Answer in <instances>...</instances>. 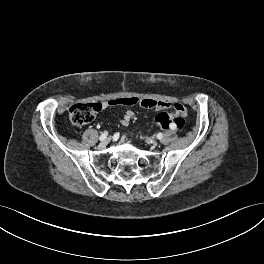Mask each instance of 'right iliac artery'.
<instances>
[{
  "instance_id": "obj_1",
  "label": "right iliac artery",
  "mask_w": 264,
  "mask_h": 264,
  "mask_svg": "<svg viewBox=\"0 0 264 264\" xmlns=\"http://www.w3.org/2000/svg\"><path fill=\"white\" fill-rule=\"evenodd\" d=\"M107 135H108V132L105 131L104 133L101 134V136L99 137V139H100L101 141H103L104 139H106Z\"/></svg>"
}]
</instances>
